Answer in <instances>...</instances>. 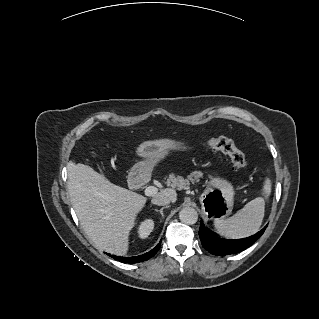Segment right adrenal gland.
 Instances as JSON below:
<instances>
[{
  "mask_svg": "<svg viewBox=\"0 0 319 319\" xmlns=\"http://www.w3.org/2000/svg\"><path fill=\"white\" fill-rule=\"evenodd\" d=\"M167 207H168V206L162 207V208L159 209V210L155 208V211L158 212V213L163 217V216H164L163 210H164L165 208H167Z\"/></svg>",
  "mask_w": 319,
  "mask_h": 319,
  "instance_id": "obj_1",
  "label": "right adrenal gland"
}]
</instances>
